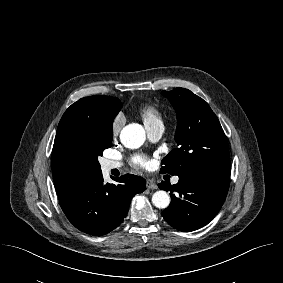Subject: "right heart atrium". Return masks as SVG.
<instances>
[{"label":"right heart atrium","mask_w":283,"mask_h":283,"mask_svg":"<svg viewBox=\"0 0 283 283\" xmlns=\"http://www.w3.org/2000/svg\"><path fill=\"white\" fill-rule=\"evenodd\" d=\"M124 124H125V117L122 114H118L114 118L112 123V133L114 135H118Z\"/></svg>","instance_id":"right-heart-atrium-1"}]
</instances>
